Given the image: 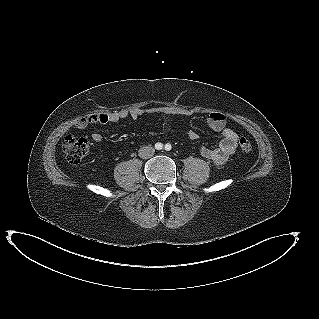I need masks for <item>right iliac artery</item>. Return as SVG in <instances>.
<instances>
[{"label":"right iliac artery","instance_id":"1","mask_svg":"<svg viewBox=\"0 0 319 319\" xmlns=\"http://www.w3.org/2000/svg\"><path fill=\"white\" fill-rule=\"evenodd\" d=\"M155 148L157 150H161L163 148V144L158 142V143L155 144Z\"/></svg>","mask_w":319,"mask_h":319}]
</instances>
